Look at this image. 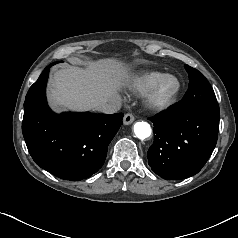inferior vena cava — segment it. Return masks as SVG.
<instances>
[{
	"instance_id": "602c4592",
	"label": "inferior vena cava",
	"mask_w": 238,
	"mask_h": 238,
	"mask_svg": "<svg viewBox=\"0 0 238 238\" xmlns=\"http://www.w3.org/2000/svg\"><path fill=\"white\" fill-rule=\"evenodd\" d=\"M121 106V99L119 97H112L108 102L98 104L96 109L105 114L116 113Z\"/></svg>"
}]
</instances>
